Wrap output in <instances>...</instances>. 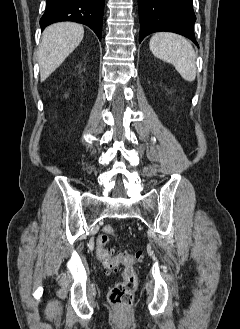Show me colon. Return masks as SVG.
Returning <instances> with one entry per match:
<instances>
[{"mask_svg": "<svg viewBox=\"0 0 240 329\" xmlns=\"http://www.w3.org/2000/svg\"><path fill=\"white\" fill-rule=\"evenodd\" d=\"M114 233L112 226L106 225L103 227L97 238V258L107 270L116 269L119 264H122L121 279L109 288L107 297L112 305L128 309L133 304L134 294L137 289V277L133 265L140 258V254L124 251L114 256L112 250L106 247L109 238Z\"/></svg>", "mask_w": 240, "mask_h": 329, "instance_id": "obj_1", "label": "colon"}]
</instances>
